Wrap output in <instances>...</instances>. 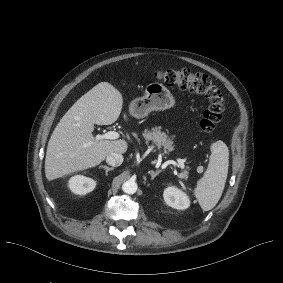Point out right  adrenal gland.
I'll return each instance as SVG.
<instances>
[{
	"label": "right adrenal gland",
	"mask_w": 283,
	"mask_h": 283,
	"mask_svg": "<svg viewBox=\"0 0 283 283\" xmlns=\"http://www.w3.org/2000/svg\"><path fill=\"white\" fill-rule=\"evenodd\" d=\"M99 168L105 169V175H106V176H108V172H109V171L114 170V167H108V166H105V165H104V166H103V165H100Z\"/></svg>",
	"instance_id": "right-adrenal-gland-1"
}]
</instances>
